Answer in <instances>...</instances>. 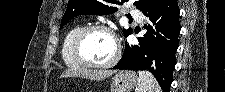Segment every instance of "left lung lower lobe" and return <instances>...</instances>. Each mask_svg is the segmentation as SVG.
<instances>
[{"label":"left lung lower lobe","mask_w":225,"mask_h":92,"mask_svg":"<svg viewBox=\"0 0 225 92\" xmlns=\"http://www.w3.org/2000/svg\"><path fill=\"white\" fill-rule=\"evenodd\" d=\"M144 15L150 20L146 25L148 32L138 38L139 45L126 43L122 58L112 69L147 70L163 91L169 92L180 33L177 1L160 0Z\"/></svg>","instance_id":"1"}]
</instances>
